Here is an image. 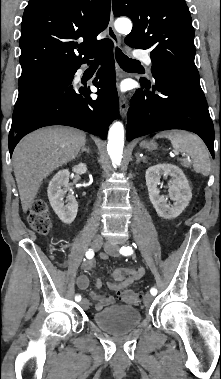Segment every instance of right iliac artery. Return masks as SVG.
<instances>
[{
    "label": "right iliac artery",
    "mask_w": 221,
    "mask_h": 379,
    "mask_svg": "<svg viewBox=\"0 0 221 379\" xmlns=\"http://www.w3.org/2000/svg\"><path fill=\"white\" fill-rule=\"evenodd\" d=\"M93 256H94V251H93L92 249H89V250L86 252V257H87L88 259H92ZM75 300H76L77 302H79V301L81 300V295H76V296H75Z\"/></svg>",
    "instance_id": "1"
}]
</instances>
